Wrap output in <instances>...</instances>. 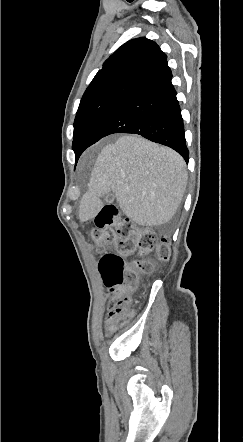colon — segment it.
Wrapping results in <instances>:
<instances>
[{
    "instance_id": "1",
    "label": "colon",
    "mask_w": 243,
    "mask_h": 442,
    "mask_svg": "<svg viewBox=\"0 0 243 442\" xmlns=\"http://www.w3.org/2000/svg\"><path fill=\"white\" fill-rule=\"evenodd\" d=\"M96 228L92 239L99 252L113 247L117 254L105 252L99 261V272L107 289L113 293L111 308L115 325L124 323L132 315L130 294L140 284L141 277L153 266L151 260L124 261L121 256L137 249L142 256H153L158 261L171 257V246L166 236H158L151 228L137 230L126 219H121L118 208L106 203L95 216Z\"/></svg>"
}]
</instances>
